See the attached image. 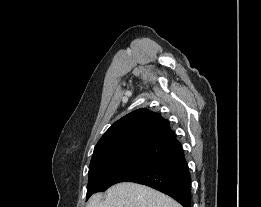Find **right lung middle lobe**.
I'll return each instance as SVG.
<instances>
[{
	"mask_svg": "<svg viewBox=\"0 0 261 207\" xmlns=\"http://www.w3.org/2000/svg\"><path fill=\"white\" fill-rule=\"evenodd\" d=\"M159 161L144 157H127L89 166L87 198L93 193L105 191L110 186L125 181Z\"/></svg>",
	"mask_w": 261,
	"mask_h": 207,
	"instance_id": "right-lung-middle-lobe-1",
	"label": "right lung middle lobe"
}]
</instances>
